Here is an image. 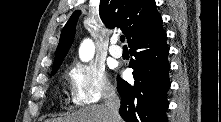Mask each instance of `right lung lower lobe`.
<instances>
[{
	"instance_id": "1",
	"label": "right lung lower lobe",
	"mask_w": 221,
	"mask_h": 122,
	"mask_svg": "<svg viewBox=\"0 0 221 122\" xmlns=\"http://www.w3.org/2000/svg\"><path fill=\"white\" fill-rule=\"evenodd\" d=\"M129 48L135 57L130 62L135 81L129 84L117 77L121 117L126 122H167L166 92L170 87V65L162 20L146 35L131 43Z\"/></svg>"
}]
</instances>
